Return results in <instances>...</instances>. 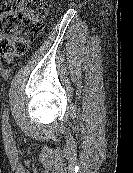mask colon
<instances>
[{
    "instance_id": "obj_1",
    "label": "colon",
    "mask_w": 133,
    "mask_h": 173,
    "mask_svg": "<svg viewBox=\"0 0 133 173\" xmlns=\"http://www.w3.org/2000/svg\"><path fill=\"white\" fill-rule=\"evenodd\" d=\"M41 0H0V54L8 60L23 55L43 30Z\"/></svg>"
}]
</instances>
